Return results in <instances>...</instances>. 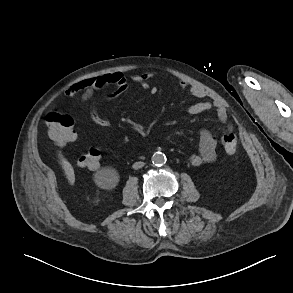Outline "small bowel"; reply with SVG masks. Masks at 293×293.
I'll return each mask as SVG.
<instances>
[{
    "label": "small bowel",
    "instance_id": "c3829d8e",
    "mask_svg": "<svg viewBox=\"0 0 293 293\" xmlns=\"http://www.w3.org/2000/svg\"><path fill=\"white\" fill-rule=\"evenodd\" d=\"M154 73L137 75L133 78L142 89L150 90L152 95L157 93L156 87H150L148 80L154 77ZM178 85L181 89H188L190 93L198 98H204L207 93L203 88L197 85H190L185 80H179ZM129 86L128 79L119 72L106 73L97 75L80 81L79 83L69 87L65 94L67 96H73L77 93H81V100H88L95 91L105 90V94L102 97L103 101H112L118 98L122 93L126 91ZM215 110L220 122L225 123L228 115L226 108L222 105L215 104L208 101H202L192 104L187 112L191 116L199 115L203 112ZM91 120L94 124L100 127H108L111 122L108 118L101 116L97 108H94L91 112ZM226 131H233V126L228 125ZM217 141L211 131L204 129L199 134V151L196 154L190 156V163L193 166H199L202 164H208L215 161L217 153Z\"/></svg>",
    "mask_w": 293,
    "mask_h": 293
}]
</instances>
